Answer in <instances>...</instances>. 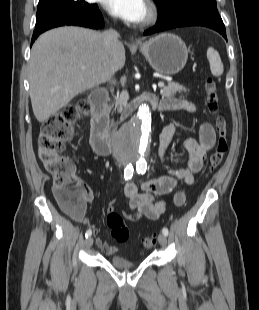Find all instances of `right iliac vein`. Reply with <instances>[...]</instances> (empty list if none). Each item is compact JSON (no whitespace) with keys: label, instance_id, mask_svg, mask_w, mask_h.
<instances>
[{"label":"right iliac vein","instance_id":"1","mask_svg":"<svg viewBox=\"0 0 259 310\" xmlns=\"http://www.w3.org/2000/svg\"><path fill=\"white\" fill-rule=\"evenodd\" d=\"M92 245H93V238L89 236L85 241V246L86 248H90Z\"/></svg>","mask_w":259,"mask_h":310}]
</instances>
